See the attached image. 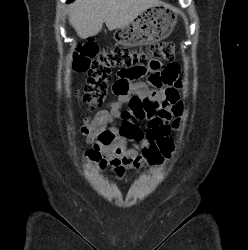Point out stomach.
Here are the masks:
<instances>
[{"label": "stomach", "instance_id": "0dacf381", "mask_svg": "<svg viewBox=\"0 0 248 250\" xmlns=\"http://www.w3.org/2000/svg\"><path fill=\"white\" fill-rule=\"evenodd\" d=\"M175 9L161 4L147 8L130 24L119 28L113 38L123 46L151 44L166 38L176 25ZM117 37L120 40H117Z\"/></svg>", "mask_w": 248, "mask_h": 250}]
</instances>
